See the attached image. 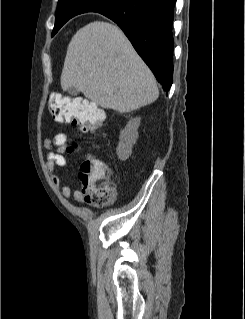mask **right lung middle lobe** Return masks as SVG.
<instances>
[{"label": "right lung middle lobe", "instance_id": "dd1d6c3e", "mask_svg": "<svg viewBox=\"0 0 245 319\" xmlns=\"http://www.w3.org/2000/svg\"><path fill=\"white\" fill-rule=\"evenodd\" d=\"M122 1L123 0H83L82 8L86 11L100 12L102 10L116 6ZM68 4L69 2L67 1L58 2L56 16H55V26H54L52 35H54L61 28V26H57V23L67 16L66 8Z\"/></svg>", "mask_w": 245, "mask_h": 319}]
</instances>
